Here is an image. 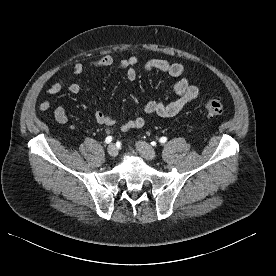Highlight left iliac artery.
<instances>
[{
  "label": "left iliac artery",
  "mask_w": 276,
  "mask_h": 276,
  "mask_svg": "<svg viewBox=\"0 0 276 276\" xmlns=\"http://www.w3.org/2000/svg\"><path fill=\"white\" fill-rule=\"evenodd\" d=\"M166 141H167L166 137H161L159 140L160 143H165Z\"/></svg>",
  "instance_id": "obj_1"
}]
</instances>
